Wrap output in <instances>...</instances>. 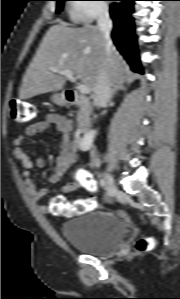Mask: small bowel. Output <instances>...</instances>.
Masks as SVG:
<instances>
[{
    "instance_id": "small-bowel-1",
    "label": "small bowel",
    "mask_w": 180,
    "mask_h": 299,
    "mask_svg": "<svg viewBox=\"0 0 180 299\" xmlns=\"http://www.w3.org/2000/svg\"><path fill=\"white\" fill-rule=\"evenodd\" d=\"M50 127H54L60 133L61 151L56 157V167L54 173L50 177L51 183L58 182L62 176L72 167L78 160V152L73 146L72 134L73 123L64 115L50 113L46 117L38 122L28 125L24 131L16 136L13 140L14 144V156L20 162L23 168L24 187L28 197L35 203H39L43 196L48 193V188H38L32 179L31 170L34 166L44 167L45 162L41 158L32 160L23 149L22 145L26 138L38 135ZM99 166V161L96 158H92L91 167L96 168ZM83 176L81 173L72 178L71 181L66 183L62 192L69 194L76 191L83 186ZM38 209L42 213L50 212L49 206L45 204H39Z\"/></svg>"
}]
</instances>
